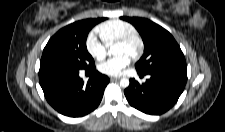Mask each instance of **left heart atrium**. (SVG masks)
Here are the masks:
<instances>
[{"label":"left heart atrium","instance_id":"39dd6f15","mask_svg":"<svg viewBox=\"0 0 225 132\" xmlns=\"http://www.w3.org/2000/svg\"><path fill=\"white\" fill-rule=\"evenodd\" d=\"M131 56L128 54H120L101 62L98 65V70L105 75L118 76L129 65Z\"/></svg>","mask_w":225,"mask_h":132}]
</instances>
